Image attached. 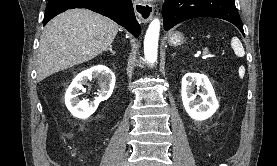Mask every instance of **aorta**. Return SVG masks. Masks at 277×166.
Returning a JSON list of instances; mask_svg holds the SVG:
<instances>
[{"label":"aorta","mask_w":277,"mask_h":166,"mask_svg":"<svg viewBox=\"0 0 277 166\" xmlns=\"http://www.w3.org/2000/svg\"><path fill=\"white\" fill-rule=\"evenodd\" d=\"M160 33V21L154 19L151 21L144 40V56L149 63H155L157 60L158 39Z\"/></svg>","instance_id":"1"}]
</instances>
